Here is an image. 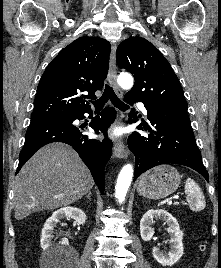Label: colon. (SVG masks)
I'll return each instance as SVG.
<instances>
[{
	"label": "colon",
	"mask_w": 221,
	"mask_h": 268,
	"mask_svg": "<svg viewBox=\"0 0 221 268\" xmlns=\"http://www.w3.org/2000/svg\"><path fill=\"white\" fill-rule=\"evenodd\" d=\"M201 251L204 252L206 250V245L205 244H202L201 247H200Z\"/></svg>",
	"instance_id": "obj_1"
}]
</instances>
